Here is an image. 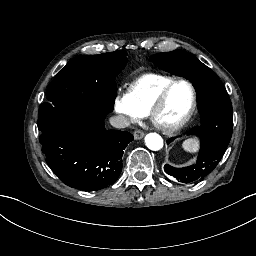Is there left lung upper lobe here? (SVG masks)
Wrapping results in <instances>:
<instances>
[{
    "mask_svg": "<svg viewBox=\"0 0 256 256\" xmlns=\"http://www.w3.org/2000/svg\"><path fill=\"white\" fill-rule=\"evenodd\" d=\"M149 61L193 83L202 116L201 126L192 130L201 138L197 162L185 168H174L166 164L165 172L194 176L208 175L223 157L232 136V104L226 89L210 68L185 51L154 54ZM172 140L173 138L168 143Z\"/></svg>",
    "mask_w": 256,
    "mask_h": 256,
    "instance_id": "1",
    "label": "left lung upper lobe"
}]
</instances>
